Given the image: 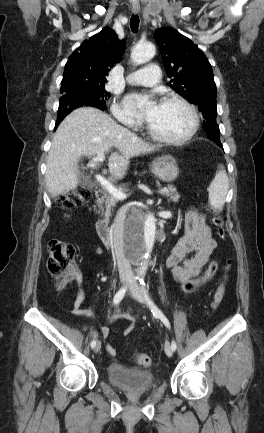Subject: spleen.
<instances>
[{"label":"spleen","instance_id":"3e777b00","mask_svg":"<svg viewBox=\"0 0 264 433\" xmlns=\"http://www.w3.org/2000/svg\"><path fill=\"white\" fill-rule=\"evenodd\" d=\"M228 188V176L224 167L221 166L208 188L209 203L214 209L219 211L223 209Z\"/></svg>","mask_w":264,"mask_h":433}]
</instances>
